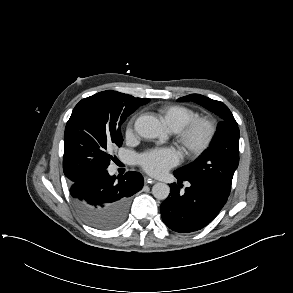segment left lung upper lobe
I'll return each mask as SVG.
<instances>
[{
	"label": "left lung upper lobe",
	"instance_id": "obj_1",
	"mask_svg": "<svg viewBox=\"0 0 293 293\" xmlns=\"http://www.w3.org/2000/svg\"><path fill=\"white\" fill-rule=\"evenodd\" d=\"M180 102H195L221 118L217 132L210 144L194 162L175 170L183 177L207 180L231 190L232 178L239 163V128L229 108L220 101L200 94H191L178 99Z\"/></svg>",
	"mask_w": 293,
	"mask_h": 293
}]
</instances>
